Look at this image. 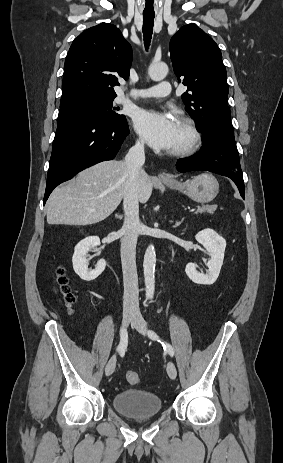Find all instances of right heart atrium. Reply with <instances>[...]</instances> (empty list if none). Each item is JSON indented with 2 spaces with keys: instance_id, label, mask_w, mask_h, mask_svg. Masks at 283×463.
I'll list each match as a JSON object with an SVG mask.
<instances>
[{
  "instance_id": "d8ad5b80",
  "label": "right heart atrium",
  "mask_w": 283,
  "mask_h": 463,
  "mask_svg": "<svg viewBox=\"0 0 283 463\" xmlns=\"http://www.w3.org/2000/svg\"><path fill=\"white\" fill-rule=\"evenodd\" d=\"M137 145H138L139 147H142V146H143L142 140L138 139V140H137Z\"/></svg>"
}]
</instances>
